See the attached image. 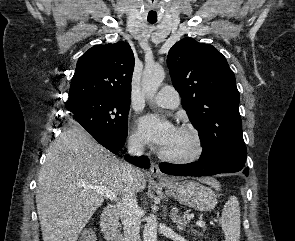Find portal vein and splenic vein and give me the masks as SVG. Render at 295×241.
<instances>
[{"label":"portal vein and splenic vein","instance_id":"obj_1","mask_svg":"<svg viewBox=\"0 0 295 241\" xmlns=\"http://www.w3.org/2000/svg\"><path fill=\"white\" fill-rule=\"evenodd\" d=\"M84 188L87 189H91L95 192H97L98 194L110 199V200H117V195L115 193H113L112 191H110L109 189H107L106 187L103 186H98V185H84ZM196 225L199 227H204L205 226V222L200 219L196 222Z\"/></svg>","mask_w":295,"mask_h":241}]
</instances>
